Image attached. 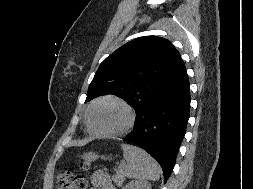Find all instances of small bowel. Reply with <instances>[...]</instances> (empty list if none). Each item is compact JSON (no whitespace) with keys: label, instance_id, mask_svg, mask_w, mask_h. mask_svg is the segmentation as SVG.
<instances>
[{"label":"small bowel","instance_id":"1","mask_svg":"<svg viewBox=\"0 0 253 189\" xmlns=\"http://www.w3.org/2000/svg\"><path fill=\"white\" fill-rule=\"evenodd\" d=\"M93 189H116L108 173L102 170L95 171L91 176Z\"/></svg>","mask_w":253,"mask_h":189}]
</instances>
